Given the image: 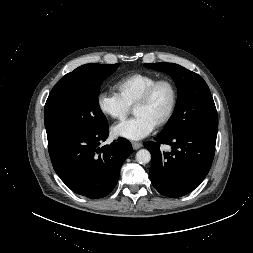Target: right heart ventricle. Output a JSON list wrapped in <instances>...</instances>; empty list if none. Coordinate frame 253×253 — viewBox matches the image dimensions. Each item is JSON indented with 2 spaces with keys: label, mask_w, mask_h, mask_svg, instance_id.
Listing matches in <instances>:
<instances>
[{
  "label": "right heart ventricle",
  "mask_w": 253,
  "mask_h": 253,
  "mask_svg": "<svg viewBox=\"0 0 253 253\" xmlns=\"http://www.w3.org/2000/svg\"><path fill=\"white\" fill-rule=\"evenodd\" d=\"M159 78L147 73H134L118 80L115 89L120 98L129 106H133L143 92Z\"/></svg>",
  "instance_id": "obj_1"
}]
</instances>
